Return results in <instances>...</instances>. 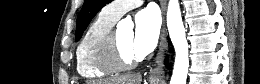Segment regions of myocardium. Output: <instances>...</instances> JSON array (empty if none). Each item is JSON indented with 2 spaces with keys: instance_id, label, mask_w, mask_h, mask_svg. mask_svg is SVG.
<instances>
[{
  "instance_id": "myocardium-1",
  "label": "myocardium",
  "mask_w": 260,
  "mask_h": 84,
  "mask_svg": "<svg viewBox=\"0 0 260 84\" xmlns=\"http://www.w3.org/2000/svg\"><path fill=\"white\" fill-rule=\"evenodd\" d=\"M141 57L125 58L118 46L116 33L112 29L103 37L99 44L98 64L107 71H128L137 66Z\"/></svg>"
}]
</instances>
